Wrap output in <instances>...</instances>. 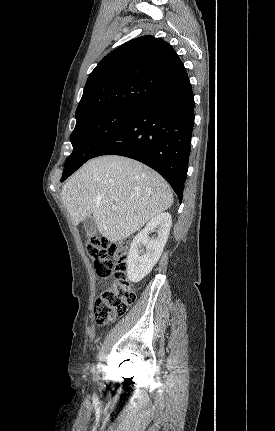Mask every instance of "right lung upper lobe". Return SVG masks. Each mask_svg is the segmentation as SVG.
I'll return each mask as SVG.
<instances>
[{
	"instance_id": "1",
	"label": "right lung upper lobe",
	"mask_w": 275,
	"mask_h": 431,
	"mask_svg": "<svg viewBox=\"0 0 275 431\" xmlns=\"http://www.w3.org/2000/svg\"><path fill=\"white\" fill-rule=\"evenodd\" d=\"M186 76L167 42L153 36L133 39L106 55L91 72L76 119L113 107H140Z\"/></svg>"
}]
</instances>
